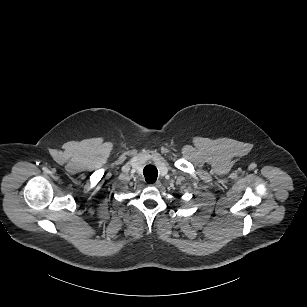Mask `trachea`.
I'll return each mask as SVG.
<instances>
[{
    "mask_svg": "<svg viewBox=\"0 0 307 307\" xmlns=\"http://www.w3.org/2000/svg\"><path fill=\"white\" fill-rule=\"evenodd\" d=\"M147 183H155L158 176L157 168L153 165H147L143 171Z\"/></svg>",
    "mask_w": 307,
    "mask_h": 307,
    "instance_id": "1",
    "label": "trachea"
}]
</instances>
